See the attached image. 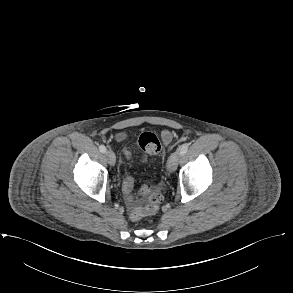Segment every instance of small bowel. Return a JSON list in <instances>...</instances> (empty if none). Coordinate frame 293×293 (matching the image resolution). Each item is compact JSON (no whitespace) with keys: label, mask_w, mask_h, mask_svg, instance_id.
Segmentation results:
<instances>
[{"label":"small bowel","mask_w":293,"mask_h":293,"mask_svg":"<svg viewBox=\"0 0 293 293\" xmlns=\"http://www.w3.org/2000/svg\"><path fill=\"white\" fill-rule=\"evenodd\" d=\"M124 139H125V134L124 133L121 132V133H118L116 135V141L117 142H122ZM164 140L166 142H169L171 140V135L168 134V133L164 134ZM126 156L127 157H130V153L129 152H126ZM125 200H126L127 208L129 210H131V200H132V197L130 195H128V194L125 193Z\"/></svg>","instance_id":"c3829d8e"}]
</instances>
